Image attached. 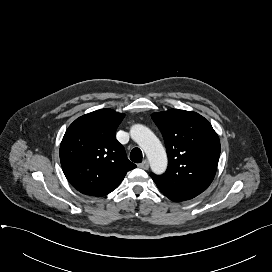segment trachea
Listing matches in <instances>:
<instances>
[{
  "instance_id": "3493384b",
  "label": "trachea",
  "mask_w": 272,
  "mask_h": 272,
  "mask_svg": "<svg viewBox=\"0 0 272 272\" xmlns=\"http://www.w3.org/2000/svg\"><path fill=\"white\" fill-rule=\"evenodd\" d=\"M130 159L134 163H141L143 159L142 151L139 148H134L130 153Z\"/></svg>"
}]
</instances>
